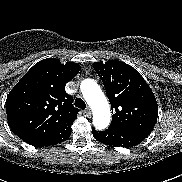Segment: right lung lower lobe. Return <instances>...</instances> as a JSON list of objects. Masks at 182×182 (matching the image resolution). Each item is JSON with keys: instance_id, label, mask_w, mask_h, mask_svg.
<instances>
[{"instance_id": "1", "label": "right lung lower lobe", "mask_w": 182, "mask_h": 182, "mask_svg": "<svg viewBox=\"0 0 182 182\" xmlns=\"http://www.w3.org/2000/svg\"><path fill=\"white\" fill-rule=\"evenodd\" d=\"M69 137H70V134L67 135L66 137H64L63 139L57 141V142L49 143V144L44 145V146L55 145V144H57V143H61V142L65 141V140H67Z\"/></svg>"}]
</instances>
